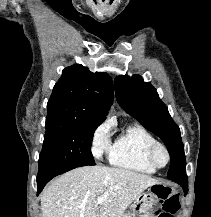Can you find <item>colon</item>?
I'll return each mask as SVG.
<instances>
[{
    "label": "colon",
    "instance_id": "1",
    "mask_svg": "<svg viewBox=\"0 0 211 217\" xmlns=\"http://www.w3.org/2000/svg\"><path fill=\"white\" fill-rule=\"evenodd\" d=\"M161 200V206L156 217H174L180 209L178 195L171 188L159 185L155 190Z\"/></svg>",
    "mask_w": 211,
    "mask_h": 217
}]
</instances>
